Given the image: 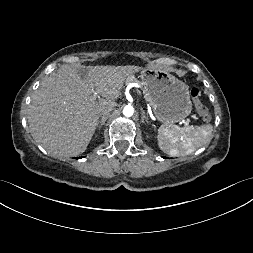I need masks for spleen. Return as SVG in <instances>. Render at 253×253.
<instances>
[{"mask_svg":"<svg viewBox=\"0 0 253 253\" xmlns=\"http://www.w3.org/2000/svg\"><path fill=\"white\" fill-rule=\"evenodd\" d=\"M212 131L210 124L185 128L163 124L158 130V145L172 157L188 155L210 142Z\"/></svg>","mask_w":253,"mask_h":253,"instance_id":"3e777b00","label":"spleen"}]
</instances>
